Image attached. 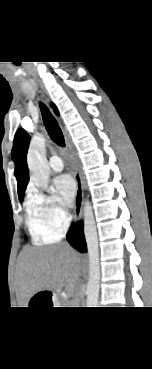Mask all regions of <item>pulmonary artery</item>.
<instances>
[{
    "mask_svg": "<svg viewBox=\"0 0 152 369\" xmlns=\"http://www.w3.org/2000/svg\"><path fill=\"white\" fill-rule=\"evenodd\" d=\"M49 166L55 172H59L64 168L63 161L58 155H53L49 159Z\"/></svg>",
    "mask_w": 152,
    "mask_h": 369,
    "instance_id": "1",
    "label": "pulmonary artery"
}]
</instances>
